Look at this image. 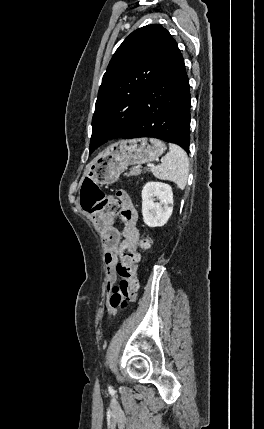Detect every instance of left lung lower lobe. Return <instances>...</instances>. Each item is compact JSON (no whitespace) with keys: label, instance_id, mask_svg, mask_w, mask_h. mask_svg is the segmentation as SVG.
I'll use <instances>...</instances> for the list:
<instances>
[{"label":"left lung lower lobe","instance_id":"0a47b994","mask_svg":"<svg viewBox=\"0 0 264 429\" xmlns=\"http://www.w3.org/2000/svg\"><path fill=\"white\" fill-rule=\"evenodd\" d=\"M190 91L184 60L172 38L159 72L140 103L138 118L124 139L153 137L189 153Z\"/></svg>","mask_w":264,"mask_h":429}]
</instances>
